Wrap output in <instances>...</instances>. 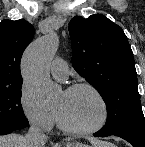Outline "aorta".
I'll return each mask as SVG.
<instances>
[{
    "label": "aorta",
    "mask_w": 145,
    "mask_h": 147,
    "mask_svg": "<svg viewBox=\"0 0 145 147\" xmlns=\"http://www.w3.org/2000/svg\"><path fill=\"white\" fill-rule=\"evenodd\" d=\"M58 37L55 32L31 43L22 58V74L35 93L38 102L51 100L56 94V85L49 73L50 62L57 50Z\"/></svg>",
    "instance_id": "obj_1"
}]
</instances>
